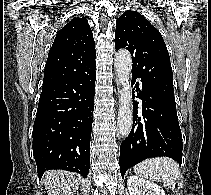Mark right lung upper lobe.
<instances>
[{
  "label": "right lung upper lobe",
  "mask_w": 211,
  "mask_h": 195,
  "mask_svg": "<svg viewBox=\"0 0 211 195\" xmlns=\"http://www.w3.org/2000/svg\"><path fill=\"white\" fill-rule=\"evenodd\" d=\"M95 42L87 19L74 18L57 32L45 65L43 85L93 68Z\"/></svg>",
  "instance_id": "right-lung-upper-lobe-1"
}]
</instances>
